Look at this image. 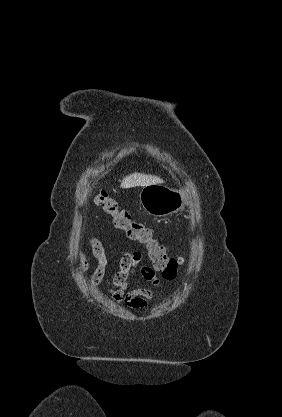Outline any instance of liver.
I'll return each mask as SVG.
<instances>
[{"mask_svg": "<svg viewBox=\"0 0 282 417\" xmlns=\"http://www.w3.org/2000/svg\"><path fill=\"white\" fill-rule=\"evenodd\" d=\"M164 182L160 176L154 174H142V172H133L129 176H124L120 186L121 188H131V186H147V184H158Z\"/></svg>", "mask_w": 282, "mask_h": 417, "instance_id": "obj_1", "label": "liver"}]
</instances>
